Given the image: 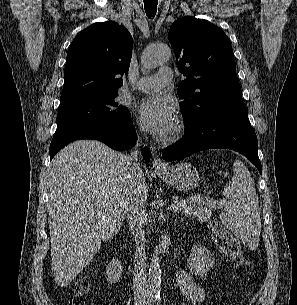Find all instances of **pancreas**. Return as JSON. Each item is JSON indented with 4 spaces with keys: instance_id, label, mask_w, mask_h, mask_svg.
<instances>
[{
    "instance_id": "cf45deb5",
    "label": "pancreas",
    "mask_w": 297,
    "mask_h": 305,
    "mask_svg": "<svg viewBox=\"0 0 297 305\" xmlns=\"http://www.w3.org/2000/svg\"><path fill=\"white\" fill-rule=\"evenodd\" d=\"M178 212L184 215H193L198 220L206 221L211 215L213 202L207 197L201 195H194L186 201H181Z\"/></svg>"
}]
</instances>
